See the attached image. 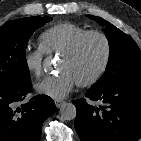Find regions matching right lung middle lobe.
<instances>
[{"label":"right lung middle lobe","mask_w":141,"mask_h":141,"mask_svg":"<svg viewBox=\"0 0 141 141\" xmlns=\"http://www.w3.org/2000/svg\"><path fill=\"white\" fill-rule=\"evenodd\" d=\"M50 20V17H27L0 27V87L30 81L25 58L26 45L33 32Z\"/></svg>","instance_id":"dd1d6c3e"}]
</instances>
